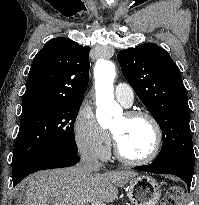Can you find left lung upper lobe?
Listing matches in <instances>:
<instances>
[{
    "mask_svg": "<svg viewBox=\"0 0 199 205\" xmlns=\"http://www.w3.org/2000/svg\"><path fill=\"white\" fill-rule=\"evenodd\" d=\"M122 73L163 132V146L154 164L183 161L195 164L190 110L181 73L170 55L154 43L122 50Z\"/></svg>",
    "mask_w": 199,
    "mask_h": 205,
    "instance_id": "1",
    "label": "left lung upper lobe"
}]
</instances>
